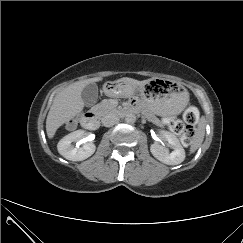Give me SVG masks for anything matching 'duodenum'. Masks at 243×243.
Listing matches in <instances>:
<instances>
[{"label": "duodenum", "mask_w": 243, "mask_h": 243, "mask_svg": "<svg viewBox=\"0 0 243 243\" xmlns=\"http://www.w3.org/2000/svg\"><path fill=\"white\" fill-rule=\"evenodd\" d=\"M129 112H131V108L125 107V108L119 109L117 111V114L119 116L123 117L126 114H128ZM82 125H83V127L90 129V130L97 129L99 126L98 117L96 116V114L93 111H88L84 114V116L82 118Z\"/></svg>", "instance_id": "duodenum-1"}]
</instances>
